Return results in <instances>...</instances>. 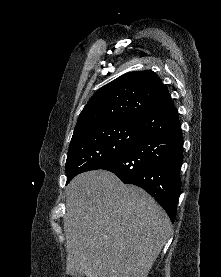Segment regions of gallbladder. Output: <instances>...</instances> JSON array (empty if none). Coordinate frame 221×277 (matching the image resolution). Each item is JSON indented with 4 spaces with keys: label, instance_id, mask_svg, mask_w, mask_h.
Returning <instances> with one entry per match:
<instances>
[{
    "label": "gallbladder",
    "instance_id": "bac80fb5",
    "mask_svg": "<svg viewBox=\"0 0 221 277\" xmlns=\"http://www.w3.org/2000/svg\"><path fill=\"white\" fill-rule=\"evenodd\" d=\"M72 277H84V274L77 271V272L72 274Z\"/></svg>",
    "mask_w": 221,
    "mask_h": 277
}]
</instances>
